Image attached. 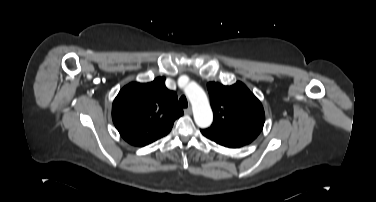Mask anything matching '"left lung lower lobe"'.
I'll use <instances>...</instances> for the list:
<instances>
[{
  "instance_id": "0a47b994",
  "label": "left lung lower lobe",
  "mask_w": 376,
  "mask_h": 202,
  "mask_svg": "<svg viewBox=\"0 0 376 202\" xmlns=\"http://www.w3.org/2000/svg\"><path fill=\"white\" fill-rule=\"evenodd\" d=\"M201 132L208 139H210V140H212V141H214V142H216V143H218L222 146H225V147L239 148L241 146L246 145L245 143H242V142L234 140V139L226 138L224 136L216 134V133L209 131L207 129H202Z\"/></svg>"
}]
</instances>
